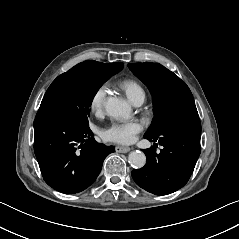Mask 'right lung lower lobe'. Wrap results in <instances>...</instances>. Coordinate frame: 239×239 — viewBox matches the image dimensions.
Masks as SVG:
<instances>
[{"label":"right lung lower lobe","mask_w":239,"mask_h":239,"mask_svg":"<svg viewBox=\"0 0 239 239\" xmlns=\"http://www.w3.org/2000/svg\"><path fill=\"white\" fill-rule=\"evenodd\" d=\"M113 146L97 143L89 126L70 117L47 115L34 120V152L45 182L74 194L88 188L99 175Z\"/></svg>","instance_id":"right-lung-lower-lobe-1"}]
</instances>
